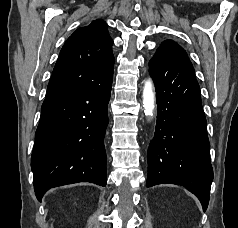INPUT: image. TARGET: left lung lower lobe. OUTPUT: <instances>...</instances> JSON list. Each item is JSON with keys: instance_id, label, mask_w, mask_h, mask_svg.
Listing matches in <instances>:
<instances>
[{"instance_id": "0a47b994", "label": "left lung lower lobe", "mask_w": 238, "mask_h": 228, "mask_svg": "<svg viewBox=\"0 0 238 228\" xmlns=\"http://www.w3.org/2000/svg\"><path fill=\"white\" fill-rule=\"evenodd\" d=\"M156 87L157 122L148 148L146 187L184 186L205 211L213 180L200 87L191 62L158 49L149 61Z\"/></svg>"}]
</instances>
